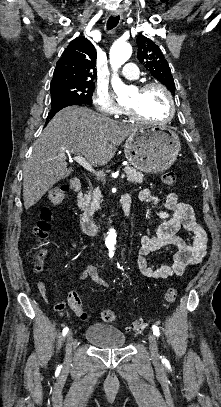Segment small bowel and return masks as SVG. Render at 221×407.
I'll return each mask as SVG.
<instances>
[{"label":"small bowel","mask_w":221,"mask_h":407,"mask_svg":"<svg viewBox=\"0 0 221 407\" xmlns=\"http://www.w3.org/2000/svg\"><path fill=\"white\" fill-rule=\"evenodd\" d=\"M139 199L142 202L153 204L158 209L157 216L160 220V224L152 233L143 235L141 238V246L137 258L141 274L140 279L165 280L173 276L182 275L189 265L198 263L206 255V232L197 221L194 209L191 205L179 201L174 193H168L165 199H161L159 196L152 194L148 189H143L139 192ZM181 228L190 233V243H186L177 235ZM168 244L177 247L172 258V264L157 267L149 265L147 256L152 251ZM87 276H91L99 285L109 286L106 280L99 277L98 271L94 266L87 267L81 273L82 278ZM37 286L42 298L47 302V289L44 281L40 279ZM74 298L75 295L70 293L68 302H71ZM64 306L63 302H57L54 305V309L61 311Z\"/></svg>","instance_id":"1"}]
</instances>
